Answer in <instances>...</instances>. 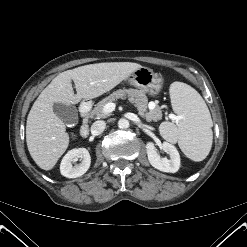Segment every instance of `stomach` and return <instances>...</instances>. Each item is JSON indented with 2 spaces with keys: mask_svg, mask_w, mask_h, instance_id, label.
Listing matches in <instances>:
<instances>
[{
  "mask_svg": "<svg viewBox=\"0 0 247 247\" xmlns=\"http://www.w3.org/2000/svg\"><path fill=\"white\" fill-rule=\"evenodd\" d=\"M127 80L129 84L153 96L159 94L164 84L163 77L147 67L137 69Z\"/></svg>",
  "mask_w": 247,
  "mask_h": 247,
  "instance_id": "stomach-1",
  "label": "stomach"
}]
</instances>
